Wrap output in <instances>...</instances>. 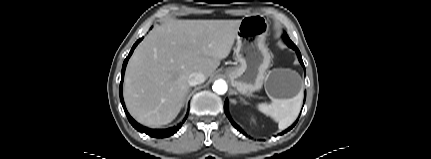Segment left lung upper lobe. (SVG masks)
Segmentation results:
<instances>
[{
	"label": "left lung upper lobe",
	"instance_id": "5c2ea615",
	"mask_svg": "<svg viewBox=\"0 0 431 159\" xmlns=\"http://www.w3.org/2000/svg\"><path fill=\"white\" fill-rule=\"evenodd\" d=\"M284 40L287 44H293V42L289 39L286 33H284Z\"/></svg>",
	"mask_w": 431,
	"mask_h": 159
}]
</instances>
